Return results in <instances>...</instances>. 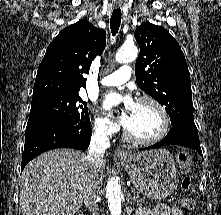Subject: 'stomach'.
I'll use <instances>...</instances> for the list:
<instances>
[{
  "label": "stomach",
  "instance_id": "obj_1",
  "mask_svg": "<svg viewBox=\"0 0 221 215\" xmlns=\"http://www.w3.org/2000/svg\"><path fill=\"white\" fill-rule=\"evenodd\" d=\"M119 162L136 189L151 199H164L177 187L175 161L165 149L126 154Z\"/></svg>",
  "mask_w": 221,
  "mask_h": 215
}]
</instances>
